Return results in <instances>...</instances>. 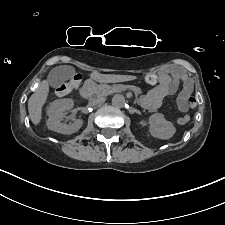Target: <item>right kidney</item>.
<instances>
[{
	"label": "right kidney",
	"instance_id": "1",
	"mask_svg": "<svg viewBox=\"0 0 225 225\" xmlns=\"http://www.w3.org/2000/svg\"><path fill=\"white\" fill-rule=\"evenodd\" d=\"M74 106L72 99L64 98L59 99L51 103L47 110V127L48 129L61 133V134H73L77 132L83 125V120L77 119L73 123L63 124L61 120L64 117V112L71 110Z\"/></svg>",
	"mask_w": 225,
	"mask_h": 225
}]
</instances>
